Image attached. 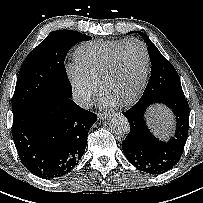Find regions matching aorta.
<instances>
[{"label": "aorta", "instance_id": "aorta-1", "mask_svg": "<svg viewBox=\"0 0 203 203\" xmlns=\"http://www.w3.org/2000/svg\"><path fill=\"white\" fill-rule=\"evenodd\" d=\"M109 128L117 136L123 137L130 131L128 119L122 114H114L109 119Z\"/></svg>", "mask_w": 203, "mask_h": 203}]
</instances>
